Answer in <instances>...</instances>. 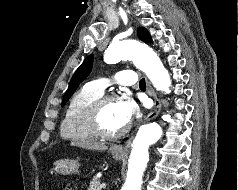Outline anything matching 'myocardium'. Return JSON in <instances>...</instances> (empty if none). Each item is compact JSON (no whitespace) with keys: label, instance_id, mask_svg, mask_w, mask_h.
Masks as SVG:
<instances>
[{"label":"myocardium","instance_id":"myocardium-1","mask_svg":"<svg viewBox=\"0 0 238 190\" xmlns=\"http://www.w3.org/2000/svg\"><path fill=\"white\" fill-rule=\"evenodd\" d=\"M114 100H119V97L115 94L102 95L93 101L85 111V126L95 137L102 139H116L124 135L129 130V123L117 131H108L103 127L101 122L102 111L108 102Z\"/></svg>","mask_w":238,"mask_h":190}]
</instances>
